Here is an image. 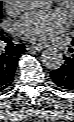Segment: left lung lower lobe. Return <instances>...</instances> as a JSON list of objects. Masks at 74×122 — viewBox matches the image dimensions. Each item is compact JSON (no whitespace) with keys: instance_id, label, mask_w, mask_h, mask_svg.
<instances>
[{"instance_id":"left-lung-lower-lobe-1","label":"left lung lower lobe","mask_w":74,"mask_h":122,"mask_svg":"<svg viewBox=\"0 0 74 122\" xmlns=\"http://www.w3.org/2000/svg\"><path fill=\"white\" fill-rule=\"evenodd\" d=\"M69 51L72 53L68 57H64L65 61L62 66L50 72L53 82L63 90L74 91V42Z\"/></svg>"}]
</instances>
